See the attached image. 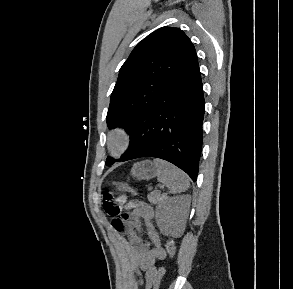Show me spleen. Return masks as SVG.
<instances>
[{"label": "spleen", "mask_w": 293, "mask_h": 289, "mask_svg": "<svg viewBox=\"0 0 293 289\" xmlns=\"http://www.w3.org/2000/svg\"><path fill=\"white\" fill-rule=\"evenodd\" d=\"M153 163L157 170V180L168 188L169 193H181L189 188L188 176L182 170L161 159H154Z\"/></svg>", "instance_id": "3e777b00"}]
</instances>
